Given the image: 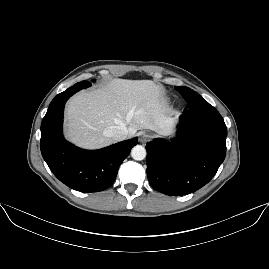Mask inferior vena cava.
Masks as SVG:
<instances>
[{"label":"inferior vena cava","mask_w":269,"mask_h":269,"mask_svg":"<svg viewBox=\"0 0 269 269\" xmlns=\"http://www.w3.org/2000/svg\"><path fill=\"white\" fill-rule=\"evenodd\" d=\"M105 134L111 138H113L115 141L123 140L128 135V129L126 126H110L106 128Z\"/></svg>","instance_id":"obj_1"}]
</instances>
